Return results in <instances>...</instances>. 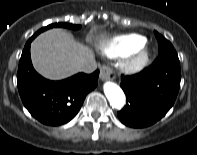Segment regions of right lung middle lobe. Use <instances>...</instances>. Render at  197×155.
Returning a JSON list of instances; mask_svg holds the SVG:
<instances>
[{"instance_id":"obj_1","label":"right lung middle lobe","mask_w":197,"mask_h":155,"mask_svg":"<svg viewBox=\"0 0 197 155\" xmlns=\"http://www.w3.org/2000/svg\"><path fill=\"white\" fill-rule=\"evenodd\" d=\"M53 27H64V28H69V29H73V30H77L79 29L81 26L80 25H73V24H68V23H54V24H50L46 27L41 28L40 30H38L33 36H37L39 33L53 28Z\"/></svg>"}]
</instances>
